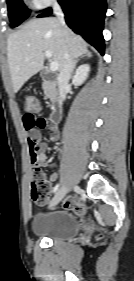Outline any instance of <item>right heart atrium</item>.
Masks as SVG:
<instances>
[{
    "label": "right heart atrium",
    "mask_w": 134,
    "mask_h": 281,
    "mask_svg": "<svg viewBox=\"0 0 134 281\" xmlns=\"http://www.w3.org/2000/svg\"><path fill=\"white\" fill-rule=\"evenodd\" d=\"M33 7L44 9L52 5L56 0H29Z\"/></svg>",
    "instance_id": "1"
}]
</instances>
